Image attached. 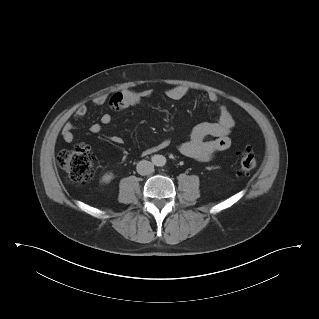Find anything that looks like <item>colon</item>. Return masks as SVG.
<instances>
[{
    "instance_id": "obj_1",
    "label": "colon",
    "mask_w": 319,
    "mask_h": 319,
    "mask_svg": "<svg viewBox=\"0 0 319 319\" xmlns=\"http://www.w3.org/2000/svg\"><path fill=\"white\" fill-rule=\"evenodd\" d=\"M121 94L112 97V108L122 109ZM96 157L92 149L85 144H79L74 149L64 151L58 156L59 166L66 172L68 180L74 183H88L95 173ZM257 166L256 154L246 148L239 152L238 175L244 176Z\"/></svg>"
}]
</instances>
